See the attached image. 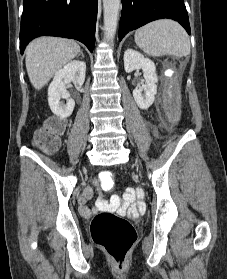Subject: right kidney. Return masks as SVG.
I'll return each mask as SVG.
<instances>
[{"label":"right kidney","mask_w":227,"mask_h":279,"mask_svg":"<svg viewBox=\"0 0 227 279\" xmlns=\"http://www.w3.org/2000/svg\"><path fill=\"white\" fill-rule=\"evenodd\" d=\"M86 64L83 61L74 60L59 69L48 88V103L51 111L61 117H69L74 109L75 101L66 90V85L73 82L82 85L85 80ZM66 99V104L61 103V99Z\"/></svg>","instance_id":"obj_1"}]
</instances>
